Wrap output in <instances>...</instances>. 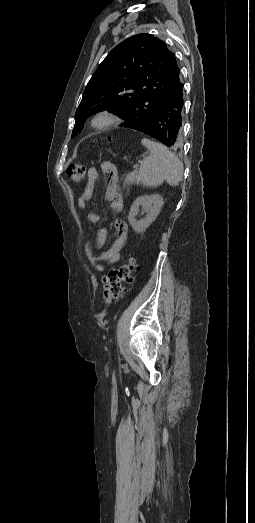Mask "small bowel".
Returning <instances> with one entry per match:
<instances>
[{
    "label": "small bowel",
    "mask_w": 255,
    "mask_h": 523,
    "mask_svg": "<svg viewBox=\"0 0 255 523\" xmlns=\"http://www.w3.org/2000/svg\"><path fill=\"white\" fill-rule=\"evenodd\" d=\"M102 170L107 178L108 184L106 189V197L108 201L110 202L111 208L113 211L120 213L123 210L124 203L122 196L120 195L118 191V180H117V171L113 165L110 163H103L100 168ZM99 169L98 168H91L88 171V182L86 186L84 187L81 195L79 196L77 200V204L79 208L85 209L87 206L88 201L92 198L94 187L96 180L99 175ZM88 219L91 223L97 224L100 221V216L96 213H90L88 215ZM114 228L117 234L116 239L111 243L110 247L101 252L100 254H96L92 247L91 242L89 239L85 241L84 244V253L85 256L90 263V265L99 272L104 271L105 266L104 263L108 264H114L118 262L121 258V251L122 248L126 242L127 238V224L123 220H116L114 223ZM107 239V231L106 229L102 228L99 229L97 232L96 237V244L98 248H102L106 242Z\"/></svg>",
    "instance_id": "small-bowel-1"
}]
</instances>
